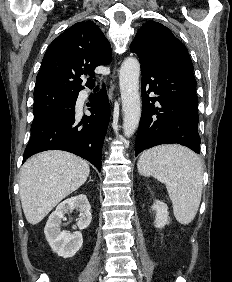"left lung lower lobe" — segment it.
I'll list each match as a JSON object with an SVG mask.
<instances>
[{
  "label": "left lung lower lobe",
  "instance_id": "0a47b994",
  "mask_svg": "<svg viewBox=\"0 0 232 282\" xmlns=\"http://www.w3.org/2000/svg\"><path fill=\"white\" fill-rule=\"evenodd\" d=\"M142 115L135 155L161 144H181L200 153L198 98L193 71L141 66ZM152 93L155 96L149 97Z\"/></svg>",
  "mask_w": 232,
  "mask_h": 282
}]
</instances>
